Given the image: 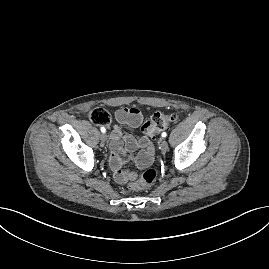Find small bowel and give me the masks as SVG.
Here are the masks:
<instances>
[{"mask_svg": "<svg viewBox=\"0 0 269 269\" xmlns=\"http://www.w3.org/2000/svg\"><path fill=\"white\" fill-rule=\"evenodd\" d=\"M115 119L117 123L111 129L110 166L115 180L120 184H125L136 177L135 172L123 169L126 159L134 151L141 149L135 157V163L140 169L146 168L153 162L154 147L147 137H136L133 134L123 132V125L131 129H136L141 125L143 115L139 109L134 107L120 108L115 112Z\"/></svg>", "mask_w": 269, "mask_h": 269, "instance_id": "1", "label": "small bowel"}]
</instances>
